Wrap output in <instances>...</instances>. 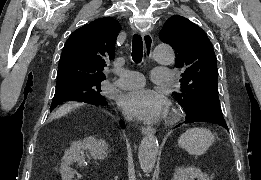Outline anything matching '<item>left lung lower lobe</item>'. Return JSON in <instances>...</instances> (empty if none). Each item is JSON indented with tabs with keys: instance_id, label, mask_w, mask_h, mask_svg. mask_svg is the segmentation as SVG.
<instances>
[{
	"instance_id": "1",
	"label": "left lung lower lobe",
	"mask_w": 261,
	"mask_h": 180,
	"mask_svg": "<svg viewBox=\"0 0 261 180\" xmlns=\"http://www.w3.org/2000/svg\"><path fill=\"white\" fill-rule=\"evenodd\" d=\"M186 112V111H185ZM208 122L224 127L228 130L223 114L213 110H202L197 113L186 112V120L184 123ZM180 126V124H178Z\"/></svg>"
}]
</instances>
